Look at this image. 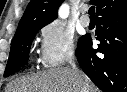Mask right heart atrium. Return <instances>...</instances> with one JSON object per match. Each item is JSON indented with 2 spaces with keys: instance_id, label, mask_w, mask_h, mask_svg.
Returning <instances> with one entry per match:
<instances>
[{
  "instance_id": "d8ad5b80",
  "label": "right heart atrium",
  "mask_w": 127,
  "mask_h": 92,
  "mask_svg": "<svg viewBox=\"0 0 127 92\" xmlns=\"http://www.w3.org/2000/svg\"><path fill=\"white\" fill-rule=\"evenodd\" d=\"M74 37L59 23L45 25L40 31L39 60L45 68H57L74 57Z\"/></svg>"
}]
</instances>
